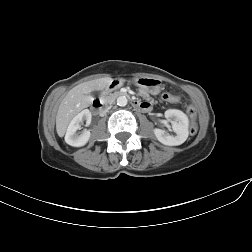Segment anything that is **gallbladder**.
I'll list each match as a JSON object with an SVG mask.
<instances>
[{"mask_svg": "<svg viewBox=\"0 0 252 252\" xmlns=\"http://www.w3.org/2000/svg\"><path fill=\"white\" fill-rule=\"evenodd\" d=\"M93 95H94V96H97V95H98V92H94Z\"/></svg>", "mask_w": 252, "mask_h": 252, "instance_id": "gallbladder-1", "label": "gallbladder"}]
</instances>
